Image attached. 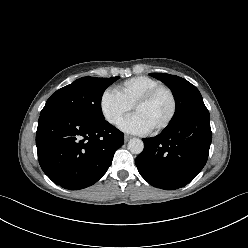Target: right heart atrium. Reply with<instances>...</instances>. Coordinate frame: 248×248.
Here are the masks:
<instances>
[{
    "label": "right heart atrium",
    "instance_id": "d8ad5b80",
    "mask_svg": "<svg viewBox=\"0 0 248 248\" xmlns=\"http://www.w3.org/2000/svg\"><path fill=\"white\" fill-rule=\"evenodd\" d=\"M99 105L104 119L113 126L118 125L131 111V107L111 89L103 91Z\"/></svg>",
    "mask_w": 248,
    "mask_h": 248
}]
</instances>
